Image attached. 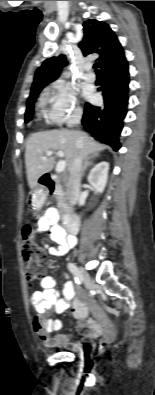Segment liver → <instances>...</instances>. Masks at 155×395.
I'll list each match as a JSON object with an SVG mask.
<instances>
[{"mask_svg":"<svg viewBox=\"0 0 155 395\" xmlns=\"http://www.w3.org/2000/svg\"><path fill=\"white\" fill-rule=\"evenodd\" d=\"M105 145L97 142L87 133L75 130H53L32 134L26 144L25 164L29 187L34 189L41 176L50 172L55 163V157L47 156L48 151H62L69 170L73 160L81 155L86 159L89 155L104 150Z\"/></svg>","mask_w":155,"mask_h":395,"instance_id":"6515ba94","label":"liver"}]
</instances>
